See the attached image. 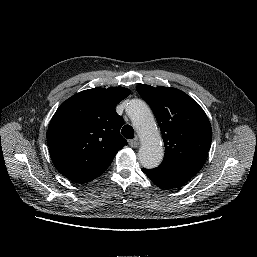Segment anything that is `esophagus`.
Segmentation results:
<instances>
[{
	"label": "esophagus",
	"mask_w": 257,
	"mask_h": 257,
	"mask_svg": "<svg viewBox=\"0 0 257 257\" xmlns=\"http://www.w3.org/2000/svg\"><path fill=\"white\" fill-rule=\"evenodd\" d=\"M129 145H130L132 148H137L138 145H139L138 138H134V139L130 140V141H129Z\"/></svg>",
	"instance_id": "1"
}]
</instances>
